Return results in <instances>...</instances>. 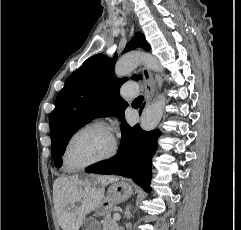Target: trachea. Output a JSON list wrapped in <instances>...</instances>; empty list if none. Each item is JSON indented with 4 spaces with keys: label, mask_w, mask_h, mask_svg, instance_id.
Instances as JSON below:
<instances>
[{
    "label": "trachea",
    "mask_w": 241,
    "mask_h": 230,
    "mask_svg": "<svg viewBox=\"0 0 241 230\" xmlns=\"http://www.w3.org/2000/svg\"><path fill=\"white\" fill-rule=\"evenodd\" d=\"M143 102V97L136 98L133 103L141 104Z\"/></svg>",
    "instance_id": "trachea-1"
}]
</instances>
